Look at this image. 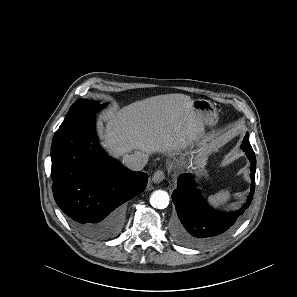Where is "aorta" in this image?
I'll use <instances>...</instances> for the list:
<instances>
[{"mask_svg": "<svg viewBox=\"0 0 297 297\" xmlns=\"http://www.w3.org/2000/svg\"><path fill=\"white\" fill-rule=\"evenodd\" d=\"M150 204L157 209H164L169 205V195L164 190H156L150 196Z\"/></svg>", "mask_w": 297, "mask_h": 297, "instance_id": "aorta-1", "label": "aorta"}]
</instances>
